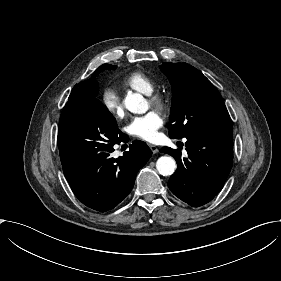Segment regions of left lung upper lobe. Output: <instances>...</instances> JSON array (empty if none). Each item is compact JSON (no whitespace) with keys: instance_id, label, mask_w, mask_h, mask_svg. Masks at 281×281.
<instances>
[{"instance_id":"obj_1","label":"left lung upper lobe","mask_w":281,"mask_h":281,"mask_svg":"<svg viewBox=\"0 0 281 281\" xmlns=\"http://www.w3.org/2000/svg\"><path fill=\"white\" fill-rule=\"evenodd\" d=\"M160 68L172 85L170 137L232 130L221 95L199 70L187 63L169 62H164Z\"/></svg>"}]
</instances>
